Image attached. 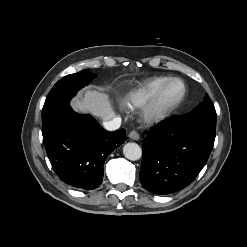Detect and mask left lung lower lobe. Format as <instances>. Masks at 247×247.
I'll return each mask as SVG.
<instances>
[{"mask_svg": "<svg viewBox=\"0 0 247 247\" xmlns=\"http://www.w3.org/2000/svg\"><path fill=\"white\" fill-rule=\"evenodd\" d=\"M181 120H164L142 143L140 181L152 193L170 194L189 185L213 148L215 131L191 128Z\"/></svg>", "mask_w": 247, "mask_h": 247, "instance_id": "obj_1", "label": "left lung lower lobe"}]
</instances>
